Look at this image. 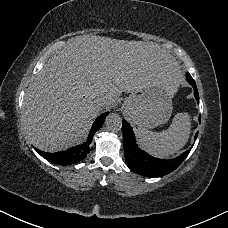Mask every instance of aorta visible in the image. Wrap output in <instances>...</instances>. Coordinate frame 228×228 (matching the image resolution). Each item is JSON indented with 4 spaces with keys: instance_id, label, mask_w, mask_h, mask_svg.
Listing matches in <instances>:
<instances>
[{
    "instance_id": "762f6f07",
    "label": "aorta",
    "mask_w": 228,
    "mask_h": 228,
    "mask_svg": "<svg viewBox=\"0 0 228 228\" xmlns=\"http://www.w3.org/2000/svg\"><path fill=\"white\" fill-rule=\"evenodd\" d=\"M105 124L109 131L117 132L122 128V119L119 115L111 113L107 116Z\"/></svg>"
}]
</instances>
